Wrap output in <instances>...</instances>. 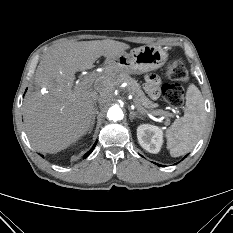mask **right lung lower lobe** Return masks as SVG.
I'll return each mask as SVG.
<instances>
[{"label":"right lung lower lobe","mask_w":233,"mask_h":233,"mask_svg":"<svg viewBox=\"0 0 233 233\" xmlns=\"http://www.w3.org/2000/svg\"><path fill=\"white\" fill-rule=\"evenodd\" d=\"M96 143L94 144L93 148L95 147ZM93 148L84 155V158H86L92 152Z\"/></svg>","instance_id":"obj_1"}]
</instances>
